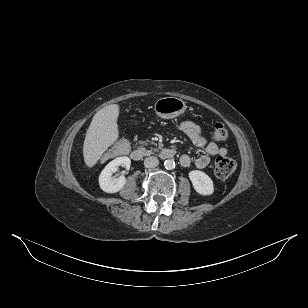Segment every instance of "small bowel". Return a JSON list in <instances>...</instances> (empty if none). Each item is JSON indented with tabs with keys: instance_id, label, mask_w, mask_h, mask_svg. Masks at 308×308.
I'll return each instance as SVG.
<instances>
[{
	"instance_id": "1",
	"label": "small bowel",
	"mask_w": 308,
	"mask_h": 308,
	"mask_svg": "<svg viewBox=\"0 0 308 308\" xmlns=\"http://www.w3.org/2000/svg\"><path fill=\"white\" fill-rule=\"evenodd\" d=\"M179 129L192 141L194 145L204 150L205 154L195 159V165L198 168H205L210 163V156H226L227 148L218 146L216 143L209 141L203 134L200 126L193 121L187 120L179 124ZM192 158L188 154L180 157L182 166H189Z\"/></svg>"
}]
</instances>
